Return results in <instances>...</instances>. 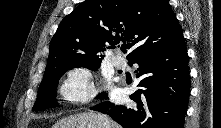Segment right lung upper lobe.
I'll use <instances>...</instances> for the list:
<instances>
[{"label": "right lung upper lobe", "mask_w": 221, "mask_h": 128, "mask_svg": "<svg viewBox=\"0 0 221 128\" xmlns=\"http://www.w3.org/2000/svg\"><path fill=\"white\" fill-rule=\"evenodd\" d=\"M182 38L167 0H86L61 21L51 40L47 66L73 59L102 60L107 44L120 41L130 61Z\"/></svg>", "instance_id": "right-lung-upper-lobe-1"}]
</instances>
